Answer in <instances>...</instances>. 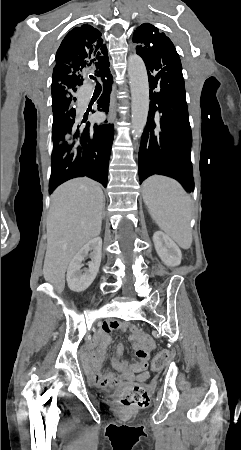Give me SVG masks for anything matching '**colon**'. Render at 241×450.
I'll return each mask as SVG.
<instances>
[{"label": "colon", "instance_id": "obj_1", "mask_svg": "<svg viewBox=\"0 0 241 450\" xmlns=\"http://www.w3.org/2000/svg\"><path fill=\"white\" fill-rule=\"evenodd\" d=\"M168 357V352H161L160 356L153 360L152 369L155 371L160 370L164 363L168 361ZM118 403L129 410L146 409L149 407L150 398L143 387L136 386L123 389L118 395Z\"/></svg>", "mask_w": 241, "mask_h": 450}]
</instances>
